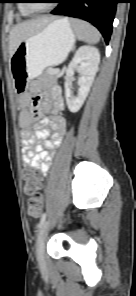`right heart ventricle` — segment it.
<instances>
[{
  "label": "right heart ventricle",
  "instance_id": "e07e8e85",
  "mask_svg": "<svg viewBox=\"0 0 136 296\" xmlns=\"http://www.w3.org/2000/svg\"><path fill=\"white\" fill-rule=\"evenodd\" d=\"M19 10H20V12L22 13V15H24V16H31L32 15V12L31 11H29L27 8H26V6H25V4H20V6H19Z\"/></svg>",
  "mask_w": 136,
  "mask_h": 296
}]
</instances>
